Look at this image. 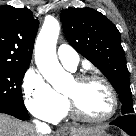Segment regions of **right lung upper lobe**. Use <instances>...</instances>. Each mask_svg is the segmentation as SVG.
Returning <instances> with one entry per match:
<instances>
[{"mask_svg":"<svg viewBox=\"0 0 136 136\" xmlns=\"http://www.w3.org/2000/svg\"><path fill=\"white\" fill-rule=\"evenodd\" d=\"M38 26L29 9L0 6V66H29Z\"/></svg>","mask_w":136,"mask_h":136,"instance_id":"right-lung-upper-lobe-1","label":"right lung upper lobe"}]
</instances>
